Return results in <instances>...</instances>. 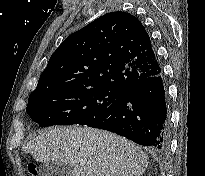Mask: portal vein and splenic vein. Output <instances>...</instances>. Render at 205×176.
<instances>
[{"label": "portal vein and splenic vein", "instance_id": "portal-vein-and-splenic-vein-1", "mask_svg": "<svg viewBox=\"0 0 205 176\" xmlns=\"http://www.w3.org/2000/svg\"><path fill=\"white\" fill-rule=\"evenodd\" d=\"M86 163L85 162H80V165L81 166H84Z\"/></svg>", "mask_w": 205, "mask_h": 176}]
</instances>
